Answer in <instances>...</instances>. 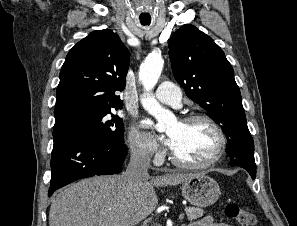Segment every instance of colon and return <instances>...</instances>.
Instances as JSON below:
<instances>
[{
  "mask_svg": "<svg viewBox=\"0 0 297 226\" xmlns=\"http://www.w3.org/2000/svg\"><path fill=\"white\" fill-rule=\"evenodd\" d=\"M225 214L228 218L238 221L241 226H255L257 223L255 214L242 209L236 203L227 204L225 207Z\"/></svg>",
  "mask_w": 297,
  "mask_h": 226,
  "instance_id": "5ec220e1",
  "label": "colon"
}]
</instances>
